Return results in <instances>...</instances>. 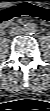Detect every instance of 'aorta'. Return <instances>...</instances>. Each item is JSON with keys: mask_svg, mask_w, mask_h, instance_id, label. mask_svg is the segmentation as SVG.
Here are the masks:
<instances>
[{"mask_svg": "<svg viewBox=\"0 0 50 111\" xmlns=\"http://www.w3.org/2000/svg\"><path fill=\"white\" fill-rule=\"evenodd\" d=\"M23 31L26 34H34L37 32V25L35 23H26L23 26Z\"/></svg>", "mask_w": 50, "mask_h": 111, "instance_id": "762f6f07", "label": "aorta"}]
</instances>
